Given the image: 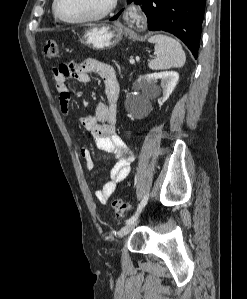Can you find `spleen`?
I'll list each match as a JSON object with an SVG mask.
<instances>
[{"label":"spleen","instance_id":"spleen-1","mask_svg":"<svg viewBox=\"0 0 247 299\" xmlns=\"http://www.w3.org/2000/svg\"><path fill=\"white\" fill-rule=\"evenodd\" d=\"M155 44L156 58L148 63L152 70H165L170 68H180L185 64L186 56L182 46L175 39L158 34L148 39Z\"/></svg>","mask_w":247,"mask_h":299}]
</instances>
